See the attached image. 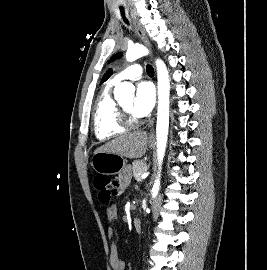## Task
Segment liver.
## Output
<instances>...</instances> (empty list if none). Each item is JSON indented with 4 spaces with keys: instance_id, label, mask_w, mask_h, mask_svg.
Segmentation results:
<instances>
[{
    "instance_id": "obj_1",
    "label": "liver",
    "mask_w": 267,
    "mask_h": 270,
    "mask_svg": "<svg viewBox=\"0 0 267 270\" xmlns=\"http://www.w3.org/2000/svg\"><path fill=\"white\" fill-rule=\"evenodd\" d=\"M147 134L143 131L126 132L108 141L94 152H109L134 159L142 157L146 152Z\"/></svg>"
}]
</instances>
